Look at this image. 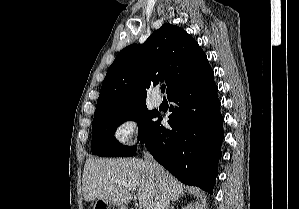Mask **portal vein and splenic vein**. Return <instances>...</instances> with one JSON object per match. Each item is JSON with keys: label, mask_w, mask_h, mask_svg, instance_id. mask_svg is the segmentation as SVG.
Segmentation results:
<instances>
[{"label": "portal vein and splenic vein", "mask_w": 299, "mask_h": 209, "mask_svg": "<svg viewBox=\"0 0 299 209\" xmlns=\"http://www.w3.org/2000/svg\"><path fill=\"white\" fill-rule=\"evenodd\" d=\"M117 183L119 184V185H123V186H126L129 190H136V188H134V187H132V186H130V185H128L126 182H124V181H117Z\"/></svg>", "instance_id": "obj_1"}]
</instances>
